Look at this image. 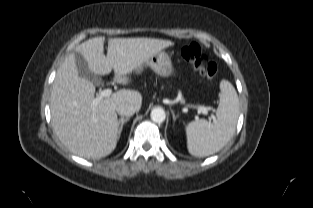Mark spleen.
Here are the masks:
<instances>
[{"label": "spleen", "instance_id": "obj_1", "mask_svg": "<svg viewBox=\"0 0 313 208\" xmlns=\"http://www.w3.org/2000/svg\"><path fill=\"white\" fill-rule=\"evenodd\" d=\"M220 101L213 122L205 119L186 125L187 148L191 155L205 157L221 150L233 137L239 117V98L233 85L220 82Z\"/></svg>", "mask_w": 313, "mask_h": 208}]
</instances>
